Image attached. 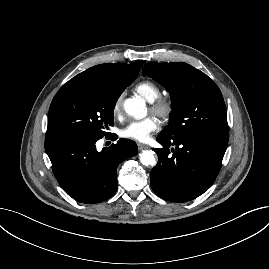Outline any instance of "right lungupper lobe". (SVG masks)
<instances>
[{
    "instance_id": "right-lung-upper-lobe-1",
    "label": "right lung upper lobe",
    "mask_w": 269,
    "mask_h": 269,
    "mask_svg": "<svg viewBox=\"0 0 269 269\" xmlns=\"http://www.w3.org/2000/svg\"><path fill=\"white\" fill-rule=\"evenodd\" d=\"M144 63V60H140L132 64H100L76 75L68 82L111 81L119 84H125L134 81Z\"/></svg>"
}]
</instances>
